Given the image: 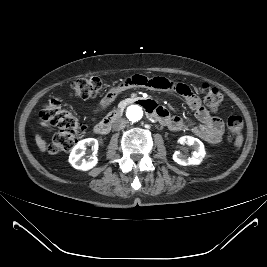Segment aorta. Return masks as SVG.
<instances>
[{
    "label": "aorta",
    "instance_id": "aorta-1",
    "mask_svg": "<svg viewBox=\"0 0 267 267\" xmlns=\"http://www.w3.org/2000/svg\"><path fill=\"white\" fill-rule=\"evenodd\" d=\"M126 116L131 122H138L143 117V110L138 105H131L127 108Z\"/></svg>",
    "mask_w": 267,
    "mask_h": 267
}]
</instances>
